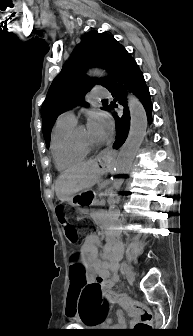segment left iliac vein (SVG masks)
Here are the masks:
<instances>
[{"instance_id": "1", "label": "left iliac vein", "mask_w": 193, "mask_h": 336, "mask_svg": "<svg viewBox=\"0 0 193 336\" xmlns=\"http://www.w3.org/2000/svg\"><path fill=\"white\" fill-rule=\"evenodd\" d=\"M122 265L124 267L126 279L128 280L129 283L132 284L135 281V274L133 270L131 269V267H129L125 263H122Z\"/></svg>"}]
</instances>
